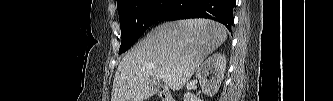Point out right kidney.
<instances>
[{"label": "right kidney", "instance_id": "ca27d5eb", "mask_svg": "<svg viewBox=\"0 0 333 101\" xmlns=\"http://www.w3.org/2000/svg\"><path fill=\"white\" fill-rule=\"evenodd\" d=\"M226 68L225 55L214 53L208 57L196 72L203 93L212 97L218 91L224 77ZM209 73L211 74L210 77ZM196 97L191 93H185L184 101H196Z\"/></svg>", "mask_w": 333, "mask_h": 101}]
</instances>
